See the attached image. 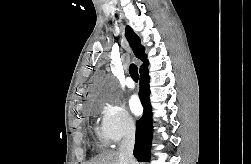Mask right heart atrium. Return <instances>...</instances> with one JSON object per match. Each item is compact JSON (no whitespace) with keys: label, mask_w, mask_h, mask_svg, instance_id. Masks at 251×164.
I'll return each mask as SVG.
<instances>
[{"label":"right heart atrium","mask_w":251,"mask_h":164,"mask_svg":"<svg viewBox=\"0 0 251 164\" xmlns=\"http://www.w3.org/2000/svg\"><path fill=\"white\" fill-rule=\"evenodd\" d=\"M101 117V130L107 140L118 143L135 132V121L120 103L106 99L98 108Z\"/></svg>","instance_id":"obj_1"}]
</instances>
